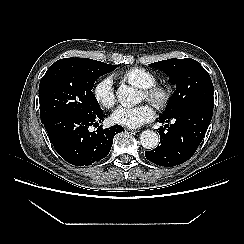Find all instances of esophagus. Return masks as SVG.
Returning <instances> with one entry per match:
<instances>
[{
    "label": "esophagus",
    "mask_w": 244,
    "mask_h": 244,
    "mask_svg": "<svg viewBox=\"0 0 244 244\" xmlns=\"http://www.w3.org/2000/svg\"><path fill=\"white\" fill-rule=\"evenodd\" d=\"M127 130L130 131V132H139V130H137V129H132V128H127Z\"/></svg>",
    "instance_id": "34e87169"
}]
</instances>
